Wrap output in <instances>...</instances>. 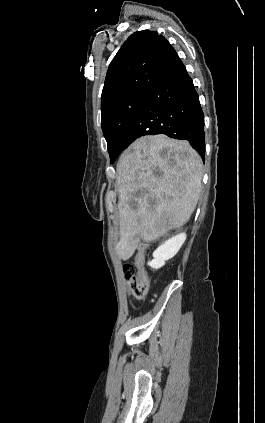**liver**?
Returning <instances> with one entry per match:
<instances>
[{
    "label": "liver",
    "instance_id": "obj_1",
    "mask_svg": "<svg viewBox=\"0 0 265 423\" xmlns=\"http://www.w3.org/2000/svg\"><path fill=\"white\" fill-rule=\"evenodd\" d=\"M202 167L189 142L163 134L141 137L122 153L116 167L120 259H129L140 239L154 241L189 220L201 192Z\"/></svg>",
    "mask_w": 265,
    "mask_h": 423
}]
</instances>
